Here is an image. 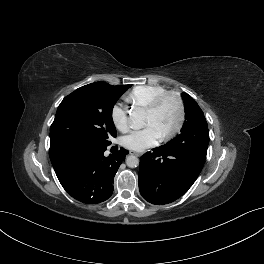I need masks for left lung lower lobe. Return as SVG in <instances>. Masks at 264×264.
<instances>
[{"label":"left lung lower lobe","instance_id":"1","mask_svg":"<svg viewBox=\"0 0 264 264\" xmlns=\"http://www.w3.org/2000/svg\"><path fill=\"white\" fill-rule=\"evenodd\" d=\"M208 128L178 144H165L140 159L139 190L152 204H167L185 194L205 163Z\"/></svg>","mask_w":264,"mask_h":264}]
</instances>
